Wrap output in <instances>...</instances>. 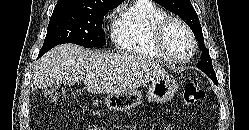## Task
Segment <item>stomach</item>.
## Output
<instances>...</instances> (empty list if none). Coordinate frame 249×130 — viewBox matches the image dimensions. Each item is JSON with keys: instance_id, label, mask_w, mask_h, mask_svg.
<instances>
[{"instance_id": "obj_1", "label": "stomach", "mask_w": 249, "mask_h": 130, "mask_svg": "<svg viewBox=\"0 0 249 130\" xmlns=\"http://www.w3.org/2000/svg\"><path fill=\"white\" fill-rule=\"evenodd\" d=\"M178 91V83L167 77H161L151 82L147 91L150 102H167ZM142 103V94L139 90H129L122 93L109 94L104 101L105 106L111 111H128Z\"/></svg>"}]
</instances>
